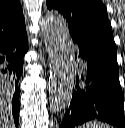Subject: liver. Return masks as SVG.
<instances>
[{"label":"liver","mask_w":125,"mask_h":128,"mask_svg":"<svg viewBox=\"0 0 125 128\" xmlns=\"http://www.w3.org/2000/svg\"><path fill=\"white\" fill-rule=\"evenodd\" d=\"M11 92L0 83V128H14L10 114Z\"/></svg>","instance_id":"6515ba94"}]
</instances>
